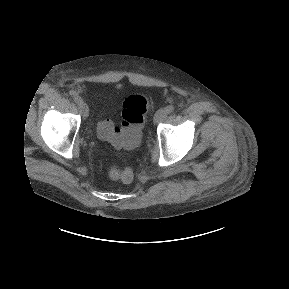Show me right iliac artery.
<instances>
[{
    "mask_svg": "<svg viewBox=\"0 0 289 289\" xmlns=\"http://www.w3.org/2000/svg\"><path fill=\"white\" fill-rule=\"evenodd\" d=\"M72 95H73V100L76 102V103H81L82 102V99H81V97H79V96H77V95H75V93L73 92L72 93Z\"/></svg>",
    "mask_w": 289,
    "mask_h": 289,
    "instance_id": "1",
    "label": "right iliac artery"
}]
</instances>
